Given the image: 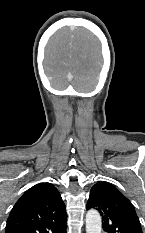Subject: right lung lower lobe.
Wrapping results in <instances>:
<instances>
[{
	"instance_id": "right-lung-lower-lobe-1",
	"label": "right lung lower lobe",
	"mask_w": 145,
	"mask_h": 233,
	"mask_svg": "<svg viewBox=\"0 0 145 233\" xmlns=\"http://www.w3.org/2000/svg\"><path fill=\"white\" fill-rule=\"evenodd\" d=\"M66 228L67 226H65L62 230H60L58 233H66Z\"/></svg>"
}]
</instances>
